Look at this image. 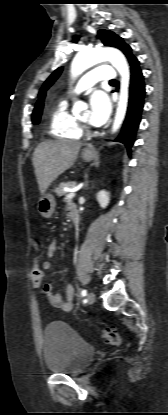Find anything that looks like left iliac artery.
<instances>
[{"mask_svg":"<svg viewBox=\"0 0 168 415\" xmlns=\"http://www.w3.org/2000/svg\"><path fill=\"white\" fill-rule=\"evenodd\" d=\"M87 295V291L85 290V289H83L82 291H81V296L82 297H85Z\"/></svg>","mask_w":168,"mask_h":415,"instance_id":"44dca946","label":"left iliac artery"}]
</instances>
